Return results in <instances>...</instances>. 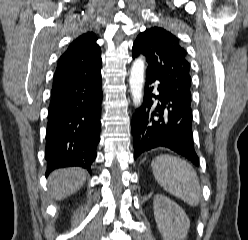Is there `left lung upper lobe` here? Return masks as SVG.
<instances>
[{"instance_id": "1", "label": "left lung upper lobe", "mask_w": 248, "mask_h": 240, "mask_svg": "<svg viewBox=\"0 0 248 240\" xmlns=\"http://www.w3.org/2000/svg\"><path fill=\"white\" fill-rule=\"evenodd\" d=\"M140 54L146 57L148 75L165 84L180 97L191 99L190 64L186 50L175 35L160 27L146 29L133 44V58Z\"/></svg>"}]
</instances>
